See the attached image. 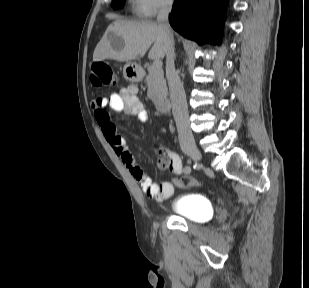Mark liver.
Instances as JSON below:
<instances>
[{
  "instance_id": "6515ba94",
  "label": "liver",
  "mask_w": 309,
  "mask_h": 288,
  "mask_svg": "<svg viewBox=\"0 0 309 288\" xmlns=\"http://www.w3.org/2000/svg\"><path fill=\"white\" fill-rule=\"evenodd\" d=\"M110 34L123 39L121 49H115L110 41ZM149 58L160 59L166 55L167 42L161 26L151 21H127L117 19L111 23L97 44L93 61L114 59L117 61H132L142 58L149 47Z\"/></svg>"
}]
</instances>
